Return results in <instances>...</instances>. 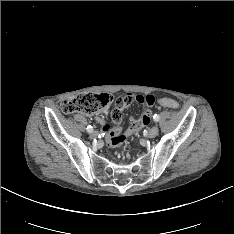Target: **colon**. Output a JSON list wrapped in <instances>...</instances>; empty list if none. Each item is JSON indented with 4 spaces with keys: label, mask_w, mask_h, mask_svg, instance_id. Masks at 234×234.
<instances>
[{
    "label": "colon",
    "mask_w": 234,
    "mask_h": 234,
    "mask_svg": "<svg viewBox=\"0 0 234 234\" xmlns=\"http://www.w3.org/2000/svg\"><path fill=\"white\" fill-rule=\"evenodd\" d=\"M112 101L113 98L111 95L106 93H82L63 101L61 104V110L65 114L84 113L90 115L107 111ZM160 102L162 105L171 109H177L179 107L178 103L173 99L163 98ZM114 110L115 106L111 110L112 118Z\"/></svg>",
    "instance_id": "1"
}]
</instances>
